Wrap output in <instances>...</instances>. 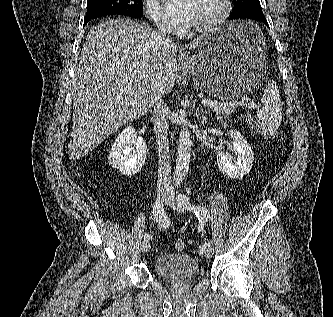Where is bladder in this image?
I'll return each mask as SVG.
<instances>
[{
  "instance_id": "31cf9c89",
  "label": "bladder",
  "mask_w": 333,
  "mask_h": 317,
  "mask_svg": "<svg viewBox=\"0 0 333 317\" xmlns=\"http://www.w3.org/2000/svg\"><path fill=\"white\" fill-rule=\"evenodd\" d=\"M156 274L172 283H187L199 274V264L190 255L184 253L161 254L154 260Z\"/></svg>"
}]
</instances>
